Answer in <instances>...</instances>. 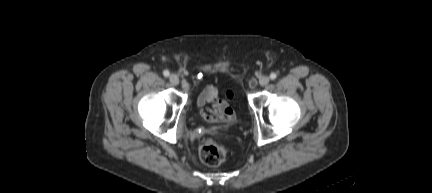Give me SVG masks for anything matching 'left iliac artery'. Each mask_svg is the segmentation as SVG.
<instances>
[{"mask_svg": "<svg viewBox=\"0 0 432 193\" xmlns=\"http://www.w3.org/2000/svg\"><path fill=\"white\" fill-rule=\"evenodd\" d=\"M277 78V74L276 73H271L270 74V79L271 80H275Z\"/></svg>", "mask_w": 432, "mask_h": 193, "instance_id": "1", "label": "left iliac artery"}]
</instances>
